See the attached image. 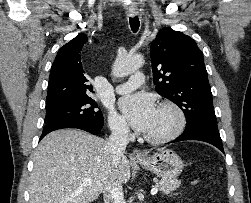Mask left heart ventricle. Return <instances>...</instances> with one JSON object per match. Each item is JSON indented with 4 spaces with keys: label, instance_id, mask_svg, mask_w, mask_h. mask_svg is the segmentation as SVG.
Returning <instances> with one entry per match:
<instances>
[{
    "label": "left heart ventricle",
    "instance_id": "left-heart-ventricle-1",
    "mask_svg": "<svg viewBox=\"0 0 251 203\" xmlns=\"http://www.w3.org/2000/svg\"><path fill=\"white\" fill-rule=\"evenodd\" d=\"M175 122L176 118L172 111L157 108L153 122L145 133L153 136L164 135L173 129Z\"/></svg>",
    "mask_w": 251,
    "mask_h": 203
}]
</instances>
